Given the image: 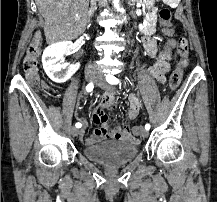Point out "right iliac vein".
<instances>
[{"label":"right iliac vein","instance_id":"63e3f726","mask_svg":"<svg viewBox=\"0 0 217 202\" xmlns=\"http://www.w3.org/2000/svg\"><path fill=\"white\" fill-rule=\"evenodd\" d=\"M85 79L88 82H93V81H95L96 77L92 73H86L85 74ZM71 132H72V136H74V137L77 136V135H79V130L76 129L75 127H72Z\"/></svg>","mask_w":217,"mask_h":202}]
</instances>
